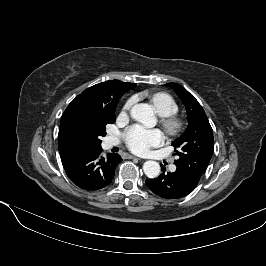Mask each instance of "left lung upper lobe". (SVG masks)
Instances as JSON below:
<instances>
[{
	"label": "left lung upper lobe",
	"instance_id": "left-lung-upper-lobe-1",
	"mask_svg": "<svg viewBox=\"0 0 266 266\" xmlns=\"http://www.w3.org/2000/svg\"><path fill=\"white\" fill-rule=\"evenodd\" d=\"M183 101L188 118L186 131L172 145L178 159L174 164L194 183L199 182L206 170L214 151V139L211 125L206 113L195 99L183 86L177 83H167Z\"/></svg>",
	"mask_w": 266,
	"mask_h": 266
}]
</instances>
